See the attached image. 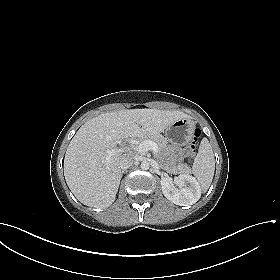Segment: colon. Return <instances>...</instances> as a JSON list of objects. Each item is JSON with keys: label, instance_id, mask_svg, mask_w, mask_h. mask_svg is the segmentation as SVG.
I'll use <instances>...</instances> for the list:
<instances>
[{"label": "colon", "instance_id": "obj_1", "mask_svg": "<svg viewBox=\"0 0 280 280\" xmlns=\"http://www.w3.org/2000/svg\"><path fill=\"white\" fill-rule=\"evenodd\" d=\"M198 136H199V131L196 130L194 132L192 140L190 142H188V144L186 145L185 154L188 158H192L195 155L196 141H197Z\"/></svg>", "mask_w": 280, "mask_h": 280}]
</instances>
